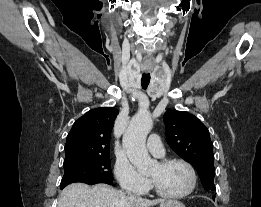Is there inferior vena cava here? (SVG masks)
<instances>
[{
  "instance_id": "obj_1",
  "label": "inferior vena cava",
  "mask_w": 261,
  "mask_h": 207,
  "mask_svg": "<svg viewBox=\"0 0 261 207\" xmlns=\"http://www.w3.org/2000/svg\"><path fill=\"white\" fill-rule=\"evenodd\" d=\"M128 194L130 195V198H136L134 195L130 194V192H128Z\"/></svg>"
}]
</instances>
